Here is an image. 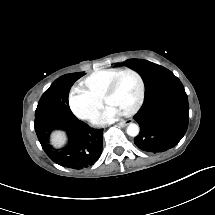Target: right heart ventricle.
Returning a JSON list of instances; mask_svg holds the SVG:
<instances>
[{
    "label": "right heart ventricle",
    "mask_w": 215,
    "mask_h": 215,
    "mask_svg": "<svg viewBox=\"0 0 215 215\" xmlns=\"http://www.w3.org/2000/svg\"><path fill=\"white\" fill-rule=\"evenodd\" d=\"M119 68H113L108 70H100L96 72V74L92 75L90 79H88L85 88L87 92L99 95L104 92V90L108 89L110 82L112 80L111 73L119 71Z\"/></svg>",
    "instance_id": "right-heart-ventricle-1"
}]
</instances>
